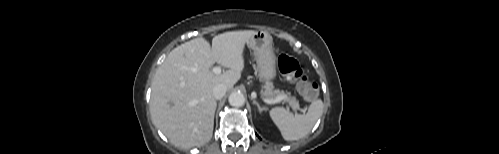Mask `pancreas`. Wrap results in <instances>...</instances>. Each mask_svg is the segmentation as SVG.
I'll list each match as a JSON object with an SVG mask.
<instances>
[{
	"instance_id": "1",
	"label": "pancreas",
	"mask_w": 499,
	"mask_h": 154,
	"mask_svg": "<svg viewBox=\"0 0 499 154\" xmlns=\"http://www.w3.org/2000/svg\"><path fill=\"white\" fill-rule=\"evenodd\" d=\"M264 95L268 99L281 98V101L288 103L294 110L299 109V102L294 96H291L290 93L280 91L279 89L274 90V87L270 82L265 85Z\"/></svg>"
}]
</instances>
